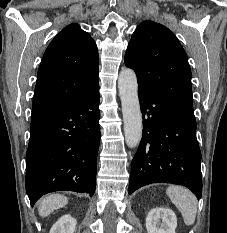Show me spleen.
<instances>
[{
  "label": "spleen",
  "mask_w": 227,
  "mask_h": 233,
  "mask_svg": "<svg viewBox=\"0 0 227 233\" xmlns=\"http://www.w3.org/2000/svg\"><path fill=\"white\" fill-rule=\"evenodd\" d=\"M172 203L181 212L184 223L187 226L193 225L197 213V199L188 189L181 186H169L166 190Z\"/></svg>",
  "instance_id": "obj_1"
}]
</instances>
